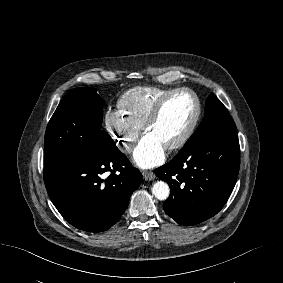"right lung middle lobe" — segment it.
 <instances>
[{
    "instance_id": "dd1d6c3e",
    "label": "right lung middle lobe",
    "mask_w": 283,
    "mask_h": 283,
    "mask_svg": "<svg viewBox=\"0 0 283 283\" xmlns=\"http://www.w3.org/2000/svg\"><path fill=\"white\" fill-rule=\"evenodd\" d=\"M102 120L103 101L96 89L75 88L66 93L46 129L44 169L112 140L101 130Z\"/></svg>"
}]
</instances>
